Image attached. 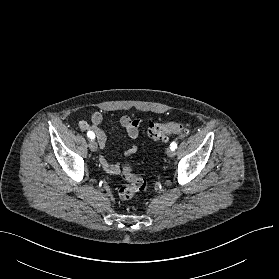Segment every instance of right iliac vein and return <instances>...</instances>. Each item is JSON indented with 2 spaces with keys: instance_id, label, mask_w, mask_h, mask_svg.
Wrapping results in <instances>:
<instances>
[{
  "instance_id": "63e3f726",
  "label": "right iliac vein",
  "mask_w": 279,
  "mask_h": 279,
  "mask_svg": "<svg viewBox=\"0 0 279 279\" xmlns=\"http://www.w3.org/2000/svg\"><path fill=\"white\" fill-rule=\"evenodd\" d=\"M89 148H90L91 151L96 152L97 149H98V145H97L96 141L91 140L89 142Z\"/></svg>"
}]
</instances>
